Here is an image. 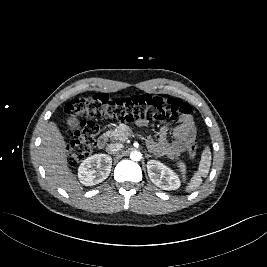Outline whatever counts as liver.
<instances>
[{"mask_svg":"<svg viewBox=\"0 0 267 267\" xmlns=\"http://www.w3.org/2000/svg\"><path fill=\"white\" fill-rule=\"evenodd\" d=\"M66 142L54 122H49L41 139L39 155L50 181L70 193L83 190L76 175L68 167Z\"/></svg>","mask_w":267,"mask_h":267,"instance_id":"6515ba94","label":"liver"}]
</instances>
